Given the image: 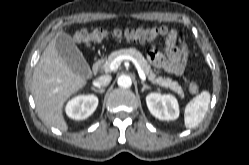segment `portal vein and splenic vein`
<instances>
[{
	"label": "portal vein and splenic vein",
	"mask_w": 249,
	"mask_h": 165,
	"mask_svg": "<svg viewBox=\"0 0 249 165\" xmlns=\"http://www.w3.org/2000/svg\"><path fill=\"white\" fill-rule=\"evenodd\" d=\"M124 59H127V60H131L135 67L137 68V71H138V74L140 76V78L144 81L146 80V76H145V73L142 69V66L140 65L139 62H137L133 57L131 56H118L116 57L109 65L108 67V70L109 71H114V70H117L118 67L120 66L121 62L124 60Z\"/></svg>",
	"instance_id": "18ae733b"
}]
</instances>
